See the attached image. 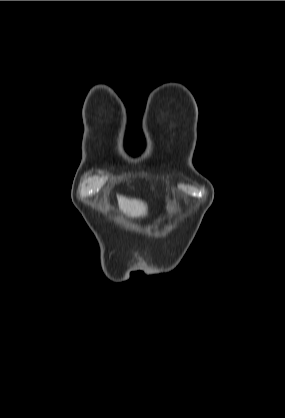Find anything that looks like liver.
Instances as JSON below:
<instances>
[{
  "instance_id": "liver-1",
  "label": "liver",
  "mask_w": 285,
  "mask_h": 418,
  "mask_svg": "<svg viewBox=\"0 0 285 418\" xmlns=\"http://www.w3.org/2000/svg\"><path fill=\"white\" fill-rule=\"evenodd\" d=\"M118 205L121 212L129 217H143L147 214V205L137 199L118 196Z\"/></svg>"
}]
</instances>
